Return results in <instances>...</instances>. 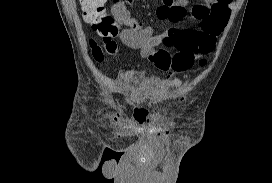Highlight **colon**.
Wrapping results in <instances>:
<instances>
[{"mask_svg":"<svg viewBox=\"0 0 272 183\" xmlns=\"http://www.w3.org/2000/svg\"><path fill=\"white\" fill-rule=\"evenodd\" d=\"M84 10V18L90 23L94 32L102 38V44L91 41L93 57L100 61L105 53H113L115 45L112 38L124 26V19L127 15V7L131 0H111L112 11L107 12L104 8V0H79ZM151 61L163 70L173 69L171 55L164 49L156 51ZM202 62V61H201Z\"/></svg>","mask_w":272,"mask_h":183,"instance_id":"obj_1","label":"colon"}]
</instances>
